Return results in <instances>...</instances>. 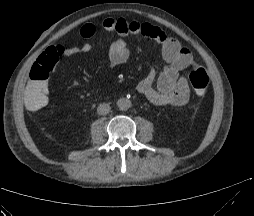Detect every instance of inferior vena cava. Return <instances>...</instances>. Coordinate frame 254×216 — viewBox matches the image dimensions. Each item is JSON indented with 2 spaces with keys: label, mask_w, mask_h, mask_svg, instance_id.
Wrapping results in <instances>:
<instances>
[{
  "label": "inferior vena cava",
  "mask_w": 254,
  "mask_h": 216,
  "mask_svg": "<svg viewBox=\"0 0 254 216\" xmlns=\"http://www.w3.org/2000/svg\"><path fill=\"white\" fill-rule=\"evenodd\" d=\"M111 110V107L107 103H102L97 107V113L99 115H107Z\"/></svg>",
  "instance_id": "1"
}]
</instances>
